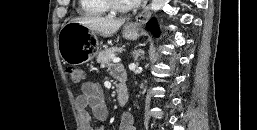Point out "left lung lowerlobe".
Returning a JSON list of instances; mask_svg holds the SVG:
<instances>
[{"label": "left lung lower lobe", "mask_w": 257, "mask_h": 130, "mask_svg": "<svg viewBox=\"0 0 257 130\" xmlns=\"http://www.w3.org/2000/svg\"><path fill=\"white\" fill-rule=\"evenodd\" d=\"M146 26L155 36L159 35V27L157 25V22H156L155 18L150 19L147 22Z\"/></svg>", "instance_id": "0a47b994"}]
</instances>
